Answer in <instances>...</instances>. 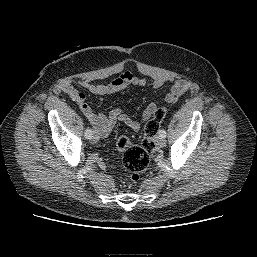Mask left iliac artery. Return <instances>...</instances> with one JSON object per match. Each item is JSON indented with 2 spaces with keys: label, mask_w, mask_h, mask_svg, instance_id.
<instances>
[{
  "label": "left iliac artery",
  "mask_w": 257,
  "mask_h": 257,
  "mask_svg": "<svg viewBox=\"0 0 257 257\" xmlns=\"http://www.w3.org/2000/svg\"><path fill=\"white\" fill-rule=\"evenodd\" d=\"M159 135L162 137H166V131L164 129L159 130Z\"/></svg>",
  "instance_id": "44dca946"
}]
</instances>
